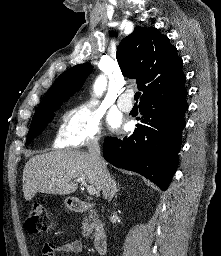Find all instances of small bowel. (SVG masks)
I'll list each match as a JSON object with an SVG mask.
<instances>
[{
	"instance_id": "obj_1",
	"label": "small bowel",
	"mask_w": 221,
	"mask_h": 256,
	"mask_svg": "<svg viewBox=\"0 0 221 256\" xmlns=\"http://www.w3.org/2000/svg\"><path fill=\"white\" fill-rule=\"evenodd\" d=\"M84 249V244L80 240H71L61 245L46 243L42 248V256H55L57 252L68 254H80Z\"/></svg>"
}]
</instances>
